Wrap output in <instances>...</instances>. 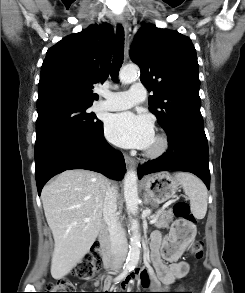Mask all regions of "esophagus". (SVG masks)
Returning a JSON list of instances; mask_svg holds the SVG:
<instances>
[{"label":"esophagus","mask_w":245,"mask_h":293,"mask_svg":"<svg viewBox=\"0 0 245 293\" xmlns=\"http://www.w3.org/2000/svg\"><path fill=\"white\" fill-rule=\"evenodd\" d=\"M116 22L119 24L124 23V17L123 16H116ZM125 162L128 166H135V160L129 157L127 154L124 155Z\"/></svg>","instance_id":"1"}]
</instances>
